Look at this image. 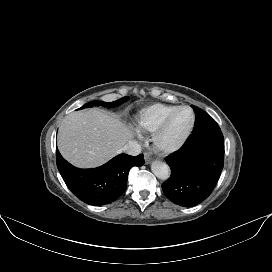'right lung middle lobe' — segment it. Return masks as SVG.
I'll return each mask as SVG.
<instances>
[{"label": "right lung middle lobe", "mask_w": 272, "mask_h": 272, "mask_svg": "<svg viewBox=\"0 0 272 272\" xmlns=\"http://www.w3.org/2000/svg\"><path fill=\"white\" fill-rule=\"evenodd\" d=\"M127 99H128V97H123L121 99H118V100H116L114 102H110V103L103 102V101H91V102L83 105L79 109L93 107V106H102V107H107V108L116 107V106L120 105L121 103H123L124 101H126Z\"/></svg>", "instance_id": "obj_1"}]
</instances>
